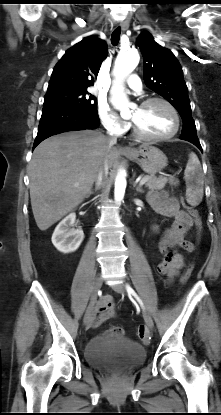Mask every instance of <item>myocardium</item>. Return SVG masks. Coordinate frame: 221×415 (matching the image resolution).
<instances>
[{
  "mask_svg": "<svg viewBox=\"0 0 221 415\" xmlns=\"http://www.w3.org/2000/svg\"><path fill=\"white\" fill-rule=\"evenodd\" d=\"M162 103L164 104L171 112L173 118H174V127L172 129L171 132H169L168 134L165 135H161V136H154V135H148L146 133H144L139 127L138 125L132 120V129H133V133L136 137L143 139V140H147V141H166L169 140L171 138H173L180 129V125H181V120H180V115L176 109V107L167 99L162 98V97H151V98H147L144 101L141 102L140 107H145L148 106L152 103Z\"/></svg>",
  "mask_w": 221,
  "mask_h": 415,
  "instance_id": "f54148a6",
  "label": "myocardium"
}]
</instances>
